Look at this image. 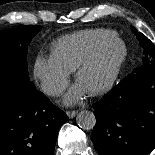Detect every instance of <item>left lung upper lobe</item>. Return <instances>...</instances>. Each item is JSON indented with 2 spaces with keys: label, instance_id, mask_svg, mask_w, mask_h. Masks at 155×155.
Listing matches in <instances>:
<instances>
[{
  "label": "left lung upper lobe",
  "instance_id": "5c2ea615",
  "mask_svg": "<svg viewBox=\"0 0 155 155\" xmlns=\"http://www.w3.org/2000/svg\"><path fill=\"white\" fill-rule=\"evenodd\" d=\"M132 32L136 35L139 40L140 46L144 49L143 63L141 66L133 70L132 73L140 72L148 67H155V46L154 44L145 37L141 32H138L133 26L131 27Z\"/></svg>",
  "mask_w": 155,
  "mask_h": 155
}]
</instances>
